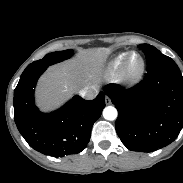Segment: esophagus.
Here are the masks:
<instances>
[{
    "instance_id": "obj_1",
    "label": "esophagus",
    "mask_w": 183,
    "mask_h": 183,
    "mask_svg": "<svg viewBox=\"0 0 183 183\" xmlns=\"http://www.w3.org/2000/svg\"><path fill=\"white\" fill-rule=\"evenodd\" d=\"M105 103L107 105L111 104V100H110V98L108 96H106V98H105Z\"/></svg>"
}]
</instances>
